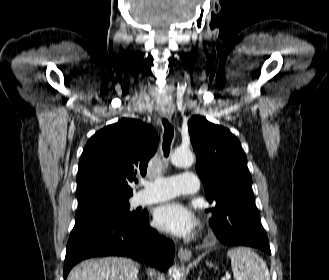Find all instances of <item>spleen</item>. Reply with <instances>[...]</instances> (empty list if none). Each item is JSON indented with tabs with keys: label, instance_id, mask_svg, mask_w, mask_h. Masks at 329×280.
Here are the masks:
<instances>
[{
	"label": "spleen",
	"instance_id": "1",
	"mask_svg": "<svg viewBox=\"0 0 329 280\" xmlns=\"http://www.w3.org/2000/svg\"><path fill=\"white\" fill-rule=\"evenodd\" d=\"M227 256L235 280H270L269 270L263 259L247 247L230 249Z\"/></svg>",
	"mask_w": 329,
	"mask_h": 280
}]
</instances>
